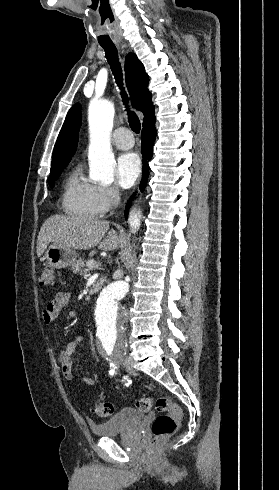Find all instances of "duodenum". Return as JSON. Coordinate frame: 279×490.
<instances>
[{"instance_id": "410a0bca", "label": "duodenum", "mask_w": 279, "mask_h": 490, "mask_svg": "<svg viewBox=\"0 0 279 490\" xmlns=\"http://www.w3.org/2000/svg\"><path fill=\"white\" fill-rule=\"evenodd\" d=\"M103 284H104V280L102 279L96 280L90 288V293L91 294L97 293L102 288Z\"/></svg>"}]
</instances>
